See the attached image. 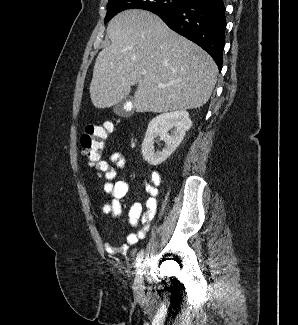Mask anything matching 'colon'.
Masks as SVG:
<instances>
[{
    "label": "colon",
    "mask_w": 298,
    "mask_h": 325,
    "mask_svg": "<svg viewBox=\"0 0 298 325\" xmlns=\"http://www.w3.org/2000/svg\"><path fill=\"white\" fill-rule=\"evenodd\" d=\"M113 130V125L106 122L103 125L90 124L85 128L80 138L83 155L87 158L89 165L95 166L100 161L105 139Z\"/></svg>",
    "instance_id": "colon-1"
}]
</instances>
